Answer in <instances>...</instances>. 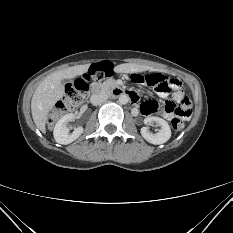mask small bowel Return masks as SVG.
I'll use <instances>...</instances> for the list:
<instances>
[{"mask_svg":"<svg viewBox=\"0 0 233 233\" xmlns=\"http://www.w3.org/2000/svg\"><path fill=\"white\" fill-rule=\"evenodd\" d=\"M172 81L174 82V86L172 88L173 90V100L177 103H179L181 100H183L184 98H187L185 95V92L182 88L181 82L177 79H172ZM170 91V90H169ZM169 91H158L159 94L161 96H166L168 94ZM152 101H146L144 102L139 109H135L134 111L136 112V114L138 112L144 114V115H151L153 113H155L151 108H150V103ZM162 113L164 115V117L168 120L172 119L173 116L175 115V112L171 109H169L168 107L164 106L162 108Z\"/></svg>","mask_w":233,"mask_h":233,"instance_id":"1","label":"small bowel"}]
</instances>
